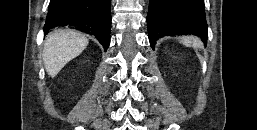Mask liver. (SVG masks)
<instances>
[{
	"mask_svg": "<svg viewBox=\"0 0 257 130\" xmlns=\"http://www.w3.org/2000/svg\"><path fill=\"white\" fill-rule=\"evenodd\" d=\"M89 41L74 30H55L45 40L43 61L49 76L54 78L72 59L79 56Z\"/></svg>",
	"mask_w": 257,
	"mask_h": 130,
	"instance_id": "1",
	"label": "liver"
}]
</instances>
